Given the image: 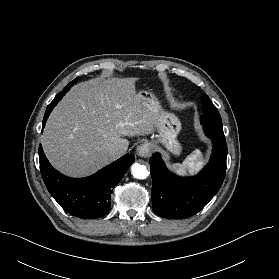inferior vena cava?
I'll use <instances>...</instances> for the list:
<instances>
[{
    "instance_id": "obj_1",
    "label": "inferior vena cava",
    "mask_w": 279,
    "mask_h": 279,
    "mask_svg": "<svg viewBox=\"0 0 279 279\" xmlns=\"http://www.w3.org/2000/svg\"><path fill=\"white\" fill-rule=\"evenodd\" d=\"M124 153H125V151L120 147H115L110 150V155L113 157H119V156L123 155Z\"/></svg>"
}]
</instances>
